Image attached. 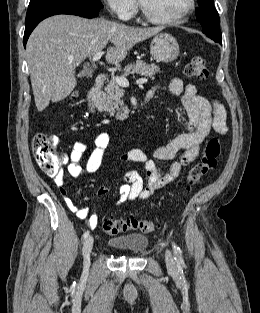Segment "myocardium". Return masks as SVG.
I'll return each instance as SVG.
<instances>
[{
  "label": "myocardium",
  "instance_id": "obj_1",
  "mask_svg": "<svg viewBox=\"0 0 260 313\" xmlns=\"http://www.w3.org/2000/svg\"><path fill=\"white\" fill-rule=\"evenodd\" d=\"M139 10L142 16L149 22L154 24L170 25L181 22L186 16H188L194 9L196 5V0H188L187 7L178 15L170 18H161L154 16L142 3L141 0H137Z\"/></svg>",
  "mask_w": 260,
  "mask_h": 313
}]
</instances>
